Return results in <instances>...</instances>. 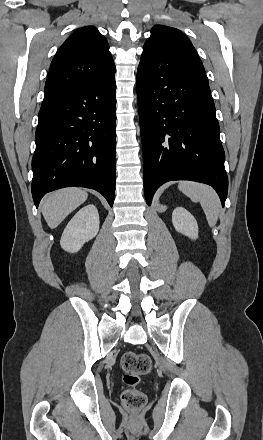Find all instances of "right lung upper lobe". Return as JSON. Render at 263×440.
I'll list each match as a JSON object with an SVG mask.
<instances>
[{"instance_id":"cb5924a9","label":"right lung upper lobe","mask_w":263,"mask_h":440,"mask_svg":"<svg viewBox=\"0 0 263 440\" xmlns=\"http://www.w3.org/2000/svg\"><path fill=\"white\" fill-rule=\"evenodd\" d=\"M115 75L106 38L93 26L74 32L55 55L44 101Z\"/></svg>"}]
</instances>
